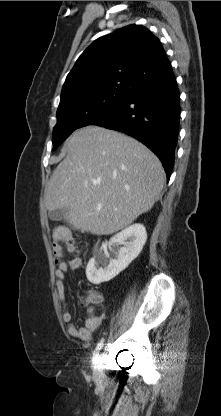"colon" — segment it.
I'll return each mask as SVG.
<instances>
[{"mask_svg":"<svg viewBox=\"0 0 221 416\" xmlns=\"http://www.w3.org/2000/svg\"><path fill=\"white\" fill-rule=\"evenodd\" d=\"M52 248L57 257L60 259L65 253L75 254L76 246L73 238L67 230H55L52 236ZM100 301L98 296H92L91 303H98Z\"/></svg>","mask_w":221,"mask_h":416,"instance_id":"obj_1","label":"colon"}]
</instances>
